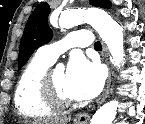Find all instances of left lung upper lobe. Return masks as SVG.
I'll use <instances>...</instances> for the list:
<instances>
[{"mask_svg":"<svg viewBox=\"0 0 145 124\" xmlns=\"http://www.w3.org/2000/svg\"><path fill=\"white\" fill-rule=\"evenodd\" d=\"M90 4L101 8H109V0H90ZM51 9L47 2H42L29 17L20 42L18 68H21L40 46L48 43L52 36V30L47 23V17Z\"/></svg>","mask_w":145,"mask_h":124,"instance_id":"5c2ea615","label":"left lung upper lobe"}]
</instances>
